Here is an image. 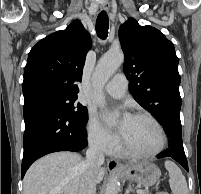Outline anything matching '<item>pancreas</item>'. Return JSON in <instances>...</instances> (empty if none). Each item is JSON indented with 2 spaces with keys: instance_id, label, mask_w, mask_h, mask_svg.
Returning a JSON list of instances; mask_svg holds the SVG:
<instances>
[{
  "instance_id": "obj_1",
  "label": "pancreas",
  "mask_w": 201,
  "mask_h": 194,
  "mask_svg": "<svg viewBox=\"0 0 201 194\" xmlns=\"http://www.w3.org/2000/svg\"><path fill=\"white\" fill-rule=\"evenodd\" d=\"M144 194H151L149 191H144Z\"/></svg>"
}]
</instances>
